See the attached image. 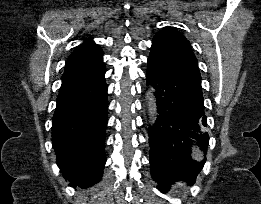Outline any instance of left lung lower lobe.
<instances>
[{"mask_svg":"<svg viewBox=\"0 0 261 204\" xmlns=\"http://www.w3.org/2000/svg\"><path fill=\"white\" fill-rule=\"evenodd\" d=\"M146 80L155 91L157 119L150 130L152 178L166 192L176 180L193 184L209 142L198 62L189 41L174 30L158 32L148 58Z\"/></svg>","mask_w":261,"mask_h":204,"instance_id":"1","label":"left lung lower lobe"}]
</instances>
